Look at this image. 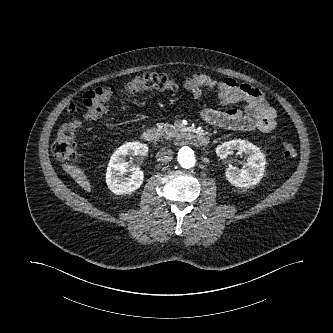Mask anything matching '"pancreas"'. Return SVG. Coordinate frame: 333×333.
Segmentation results:
<instances>
[{"label":"pancreas","mask_w":333,"mask_h":333,"mask_svg":"<svg viewBox=\"0 0 333 333\" xmlns=\"http://www.w3.org/2000/svg\"><path fill=\"white\" fill-rule=\"evenodd\" d=\"M157 130L161 136H164L167 139L175 137L178 133V129L170 125L169 123H159L157 124Z\"/></svg>","instance_id":"pancreas-1"}]
</instances>
